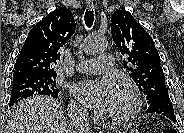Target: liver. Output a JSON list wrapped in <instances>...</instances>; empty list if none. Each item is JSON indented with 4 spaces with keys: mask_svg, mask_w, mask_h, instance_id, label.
<instances>
[{
    "mask_svg": "<svg viewBox=\"0 0 184 133\" xmlns=\"http://www.w3.org/2000/svg\"><path fill=\"white\" fill-rule=\"evenodd\" d=\"M63 109L52 97L34 96L17 102L6 115L4 133H70Z\"/></svg>",
    "mask_w": 184,
    "mask_h": 133,
    "instance_id": "1",
    "label": "liver"
}]
</instances>
